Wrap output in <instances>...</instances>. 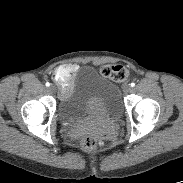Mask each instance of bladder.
<instances>
[{
  "instance_id": "31cf9c89",
  "label": "bladder",
  "mask_w": 183,
  "mask_h": 183,
  "mask_svg": "<svg viewBox=\"0 0 183 183\" xmlns=\"http://www.w3.org/2000/svg\"><path fill=\"white\" fill-rule=\"evenodd\" d=\"M61 111L70 119L116 118L121 113L119 90L106 78H98L62 96Z\"/></svg>"
}]
</instances>
